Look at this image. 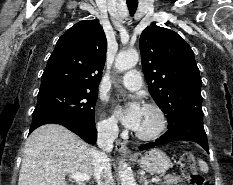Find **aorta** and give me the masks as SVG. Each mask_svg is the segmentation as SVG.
<instances>
[{"label": "aorta", "instance_id": "aorta-1", "mask_svg": "<svg viewBox=\"0 0 233 185\" xmlns=\"http://www.w3.org/2000/svg\"><path fill=\"white\" fill-rule=\"evenodd\" d=\"M138 60L139 54L135 50L119 52L115 59V68L120 72L129 70L138 63ZM118 176L121 185H137L132 170L125 162L119 164Z\"/></svg>", "mask_w": 233, "mask_h": 185}]
</instances>
